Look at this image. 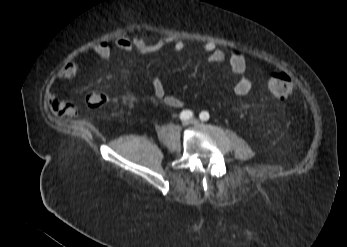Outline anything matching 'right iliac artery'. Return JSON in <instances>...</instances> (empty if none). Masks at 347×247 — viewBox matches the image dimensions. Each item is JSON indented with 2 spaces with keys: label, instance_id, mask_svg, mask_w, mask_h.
Listing matches in <instances>:
<instances>
[{
  "label": "right iliac artery",
  "instance_id": "right-iliac-artery-1",
  "mask_svg": "<svg viewBox=\"0 0 347 247\" xmlns=\"http://www.w3.org/2000/svg\"><path fill=\"white\" fill-rule=\"evenodd\" d=\"M193 117V113L192 111L190 110H183L181 113H180V119L181 120H188L190 118Z\"/></svg>",
  "mask_w": 347,
  "mask_h": 247
}]
</instances>
